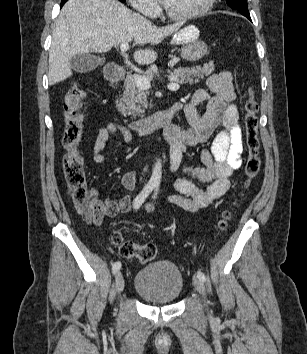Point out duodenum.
<instances>
[{
    "mask_svg": "<svg viewBox=\"0 0 307 354\" xmlns=\"http://www.w3.org/2000/svg\"><path fill=\"white\" fill-rule=\"evenodd\" d=\"M125 77V71L120 66H112L107 71V79L111 83H120ZM175 115L173 108L159 111L151 116L135 120L128 124V128L137 134H148L155 129L170 124Z\"/></svg>",
    "mask_w": 307,
    "mask_h": 354,
    "instance_id": "410a0bca",
    "label": "duodenum"
}]
</instances>
